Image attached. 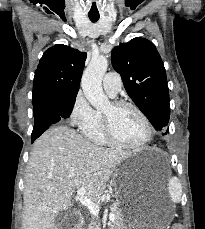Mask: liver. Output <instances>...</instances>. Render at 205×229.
Segmentation results:
<instances>
[{
  "mask_svg": "<svg viewBox=\"0 0 205 229\" xmlns=\"http://www.w3.org/2000/svg\"><path fill=\"white\" fill-rule=\"evenodd\" d=\"M130 152L96 146L67 126H53L34 143L23 193V229H59L57 215L71 206V196L86 188L99 200L115 168Z\"/></svg>",
  "mask_w": 205,
  "mask_h": 229,
  "instance_id": "1",
  "label": "liver"
}]
</instances>
